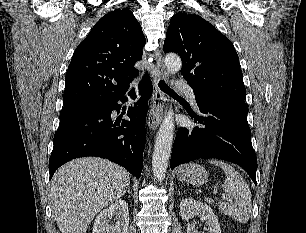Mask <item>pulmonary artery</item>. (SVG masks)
<instances>
[{"instance_id":"obj_1","label":"pulmonary artery","mask_w":306,"mask_h":233,"mask_svg":"<svg viewBox=\"0 0 306 233\" xmlns=\"http://www.w3.org/2000/svg\"><path fill=\"white\" fill-rule=\"evenodd\" d=\"M176 88L180 91H183L188 96L191 103L193 105H196L193 88H191L189 85L185 84L183 81H177Z\"/></svg>"}]
</instances>
